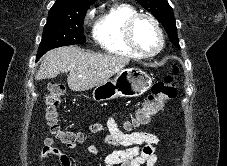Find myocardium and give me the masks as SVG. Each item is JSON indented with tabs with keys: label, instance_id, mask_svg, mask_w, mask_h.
Listing matches in <instances>:
<instances>
[{
	"label": "myocardium",
	"instance_id": "f54148a6",
	"mask_svg": "<svg viewBox=\"0 0 227 166\" xmlns=\"http://www.w3.org/2000/svg\"><path fill=\"white\" fill-rule=\"evenodd\" d=\"M141 19H147L149 20L153 26L155 27L158 37H159V42H158V46L157 48L152 51V52H144L142 51L139 46L137 45L136 41H135V37H134V28L135 25L137 24V22ZM124 35H125V39L126 42L128 44V46L139 56V57H153L156 56L157 54H159L161 52V50L164 47V34H163V30L161 28L160 23L158 22V20L148 14V13H137L133 16H131L126 24H125V28H124Z\"/></svg>",
	"mask_w": 227,
	"mask_h": 166
}]
</instances>
